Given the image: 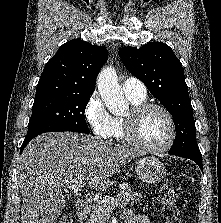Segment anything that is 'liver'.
Returning <instances> with one entry per match:
<instances>
[{
	"label": "liver",
	"instance_id": "liver-1",
	"mask_svg": "<svg viewBox=\"0 0 221 223\" xmlns=\"http://www.w3.org/2000/svg\"><path fill=\"white\" fill-rule=\"evenodd\" d=\"M141 154L136 148L91 135L50 132L37 136L17 164L21 223H56L67 204L60 185L85 181L105 190L120 167Z\"/></svg>",
	"mask_w": 221,
	"mask_h": 223
}]
</instances>
